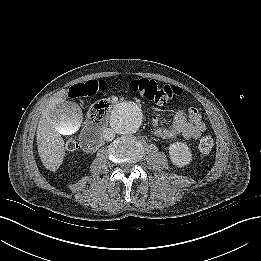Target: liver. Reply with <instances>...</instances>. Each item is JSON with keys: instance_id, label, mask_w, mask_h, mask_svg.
Wrapping results in <instances>:
<instances>
[{"instance_id": "1", "label": "liver", "mask_w": 261, "mask_h": 261, "mask_svg": "<svg viewBox=\"0 0 261 261\" xmlns=\"http://www.w3.org/2000/svg\"><path fill=\"white\" fill-rule=\"evenodd\" d=\"M67 93V89H62L47 100L37 126L36 140L41 162L46 169L53 172L59 168L65 156L64 140L61 134L74 133L82 122V111L78 105L73 128L69 131H65L66 126L54 116L56 106L66 101Z\"/></svg>"}]
</instances>
